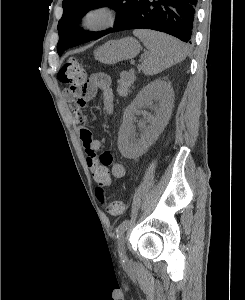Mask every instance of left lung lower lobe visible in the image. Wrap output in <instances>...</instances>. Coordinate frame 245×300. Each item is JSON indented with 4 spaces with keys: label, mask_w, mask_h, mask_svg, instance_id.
<instances>
[{
    "label": "left lung lower lobe",
    "mask_w": 245,
    "mask_h": 300,
    "mask_svg": "<svg viewBox=\"0 0 245 300\" xmlns=\"http://www.w3.org/2000/svg\"><path fill=\"white\" fill-rule=\"evenodd\" d=\"M196 4L197 0H135L130 14L104 35L129 29H152L191 43ZM100 37L102 35L92 40Z\"/></svg>",
    "instance_id": "left-lung-lower-lobe-1"
}]
</instances>
